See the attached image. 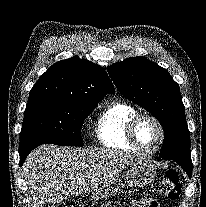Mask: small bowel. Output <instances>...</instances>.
Instances as JSON below:
<instances>
[{
	"label": "small bowel",
	"instance_id": "1",
	"mask_svg": "<svg viewBox=\"0 0 206 207\" xmlns=\"http://www.w3.org/2000/svg\"><path fill=\"white\" fill-rule=\"evenodd\" d=\"M150 199H141L138 201H134L132 207H149Z\"/></svg>",
	"mask_w": 206,
	"mask_h": 207
}]
</instances>
